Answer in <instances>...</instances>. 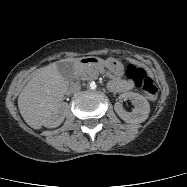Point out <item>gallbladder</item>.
I'll list each match as a JSON object with an SVG mask.
<instances>
[{
  "label": "gallbladder",
  "mask_w": 187,
  "mask_h": 187,
  "mask_svg": "<svg viewBox=\"0 0 187 187\" xmlns=\"http://www.w3.org/2000/svg\"><path fill=\"white\" fill-rule=\"evenodd\" d=\"M57 68L64 78H69L73 71V64L69 61H61L57 63Z\"/></svg>",
  "instance_id": "gallbladder-1"
}]
</instances>
